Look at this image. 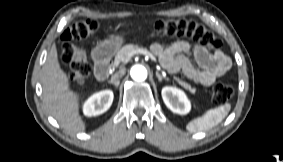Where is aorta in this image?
<instances>
[{
  "label": "aorta",
  "instance_id": "obj_1",
  "mask_svg": "<svg viewBox=\"0 0 283 162\" xmlns=\"http://www.w3.org/2000/svg\"><path fill=\"white\" fill-rule=\"evenodd\" d=\"M130 75L135 81H144L147 78V70L142 65H134L131 68Z\"/></svg>",
  "mask_w": 283,
  "mask_h": 162
}]
</instances>
